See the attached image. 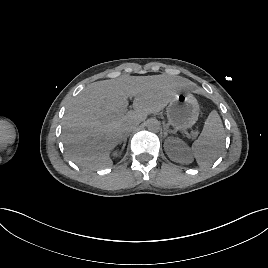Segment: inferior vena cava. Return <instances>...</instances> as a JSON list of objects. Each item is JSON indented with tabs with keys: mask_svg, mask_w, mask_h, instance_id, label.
Returning a JSON list of instances; mask_svg holds the SVG:
<instances>
[{
	"mask_svg": "<svg viewBox=\"0 0 268 268\" xmlns=\"http://www.w3.org/2000/svg\"><path fill=\"white\" fill-rule=\"evenodd\" d=\"M136 125L133 124V123H124L122 125V132H123V135L126 136L128 135L129 133L133 132L135 129H136Z\"/></svg>",
	"mask_w": 268,
	"mask_h": 268,
	"instance_id": "602c4592",
	"label": "inferior vena cava"
}]
</instances>
